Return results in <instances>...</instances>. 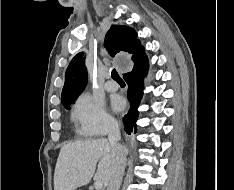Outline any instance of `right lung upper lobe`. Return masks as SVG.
I'll return each mask as SVG.
<instances>
[{"label":"right lung upper lobe","instance_id":"obj_1","mask_svg":"<svg viewBox=\"0 0 234 190\" xmlns=\"http://www.w3.org/2000/svg\"><path fill=\"white\" fill-rule=\"evenodd\" d=\"M105 47L111 56L117 53H128L134 61L144 50L137 39V32L126 26L112 25L106 34ZM84 52L73 57L65 74V84L62 90V104L76 100L84 90L87 82V70L84 64Z\"/></svg>","mask_w":234,"mask_h":190}]
</instances>
